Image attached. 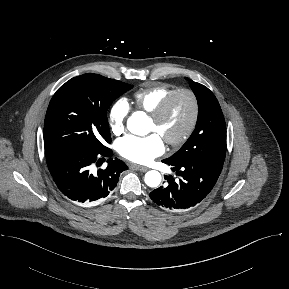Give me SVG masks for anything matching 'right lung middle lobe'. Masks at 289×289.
<instances>
[{"instance_id":"1","label":"right lung middle lobe","mask_w":289,"mask_h":289,"mask_svg":"<svg viewBox=\"0 0 289 289\" xmlns=\"http://www.w3.org/2000/svg\"><path fill=\"white\" fill-rule=\"evenodd\" d=\"M133 86L97 74L63 84L52 97L44 123L45 155L67 148L101 151L110 143L106 111Z\"/></svg>"}]
</instances>
